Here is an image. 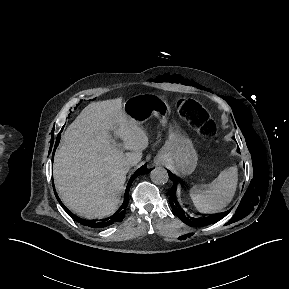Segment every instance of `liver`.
<instances>
[{
    "instance_id": "6515ba94",
    "label": "liver",
    "mask_w": 289,
    "mask_h": 289,
    "mask_svg": "<svg viewBox=\"0 0 289 289\" xmlns=\"http://www.w3.org/2000/svg\"><path fill=\"white\" fill-rule=\"evenodd\" d=\"M108 131L130 152L123 153ZM148 143L144 130L124 111L122 99L90 103L66 129L55 153L53 177L63 204L88 219L114 213L126 181V164H137Z\"/></svg>"
}]
</instances>
